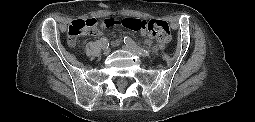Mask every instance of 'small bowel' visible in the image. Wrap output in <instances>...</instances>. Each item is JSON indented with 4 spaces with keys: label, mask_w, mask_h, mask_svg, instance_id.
Instances as JSON below:
<instances>
[{
    "label": "small bowel",
    "mask_w": 255,
    "mask_h": 122,
    "mask_svg": "<svg viewBox=\"0 0 255 122\" xmlns=\"http://www.w3.org/2000/svg\"><path fill=\"white\" fill-rule=\"evenodd\" d=\"M105 21L101 23L99 30L96 31V35H99L104 28L109 27V26H107ZM142 34L143 35H148V33L146 31H142ZM147 41L150 42V39H148Z\"/></svg>",
    "instance_id": "obj_1"
}]
</instances>
